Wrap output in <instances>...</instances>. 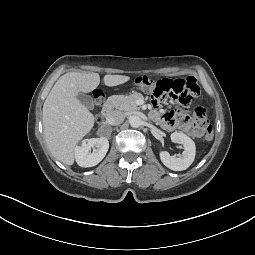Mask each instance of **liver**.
I'll return each mask as SVG.
<instances>
[{
    "instance_id": "6515ba94",
    "label": "liver",
    "mask_w": 255,
    "mask_h": 255,
    "mask_svg": "<svg viewBox=\"0 0 255 255\" xmlns=\"http://www.w3.org/2000/svg\"><path fill=\"white\" fill-rule=\"evenodd\" d=\"M125 75H105L104 84L112 87L127 82ZM100 84L98 73L68 72L61 76L43 105L44 137L51 154L65 165H73L75 147L94 126L93 114L77 99Z\"/></svg>"
}]
</instances>
